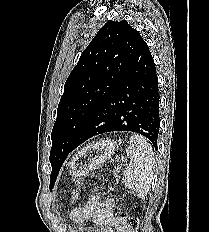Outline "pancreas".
I'll use <instances>...</instances> for the list:
<instances>
[{"mask_svg": "<svg viewBox=\"0 0 209 232\" xmlns=\"http://www.w3.org/2000/svg\"><path fill=\"white\" fill-rule=\"evenodd\" d=\"M116 172H119V168L116 169ZM117 177H119V176H117Z\"/></svg>", "mask_w": 209, "mask_h": 232, "instance_id": "cf45deb5", "label": "pancreas"}]
</instances>
